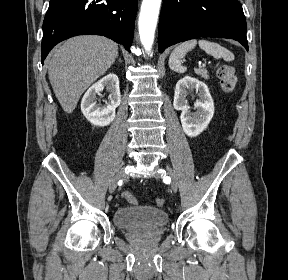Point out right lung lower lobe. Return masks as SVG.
<instances>
[{
  "instance_id": "1",
  "label": "right lung lower lobe",
  "mask_w": 288,
  "mask_h": 280,
  "mask_svg": "<svg viewBox=\"0 0 288 280\" xmlns=\"http://www.w3.org/2000/svg\"><path fill=\"white\" fill-rule=\"evenodd\" d=\"M138 0H50L43 22L42 64L59 42L83 34L106 36L129 51Z\"/></svg>"
}]
</instances>
